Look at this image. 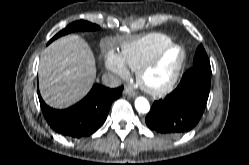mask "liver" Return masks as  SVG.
Returning <instances> with one entry per match:
<instances>
[{
  "label": "liver",
  "instance_id": "1",
  "mask_svg": "<svg viewBox=\"0 0 249 165\" xmlns=\"http://www.w3.org/2000/svg\"><path fill=\"white\" fill-rule=\"evenodd\" d=\"M96 77L95 58L78 35H67L50 44L39 66L42 98L53 108H67L82 99Z\"/></svg>",
  "mask_w": 249,
  "mask_h": 165
}]
</instances>
